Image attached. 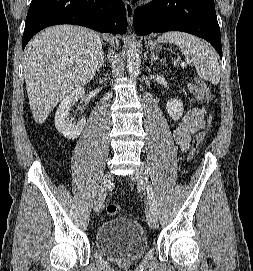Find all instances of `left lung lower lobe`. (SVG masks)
Wrapping results in <instances>:
<instances>
[{"label":"left lung lower lobe","instance_id":"0a47b994","mask_svg":"<svg viewBox=\"0 0 253 271\" xmlns=\"http://www.w3.org/2000/svg\"><path fill=\"white\" fill-rule=\"evenodd\" d=\"M133 25L138 35L183 31L207 40L222 57L214 0H157L138 8Z\"/></svg>","mask_w":253,"mask_h":271}]
</instances>
